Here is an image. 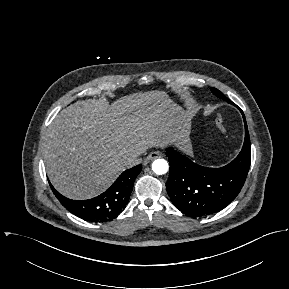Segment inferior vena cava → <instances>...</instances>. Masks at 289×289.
<instances>
[{
  "label": "inferior vena cava",
  "mask_w": 289,
  "mask_h": 289,
  "mask_svg": "<svg viewBox=\"0 0 289 289\" xmlns=\"http://www.w3.org/2000/svg\"><path fill=\"white\" fill-rule=\"evenodd\" d=\"M139 154H130L125 158V162L128 167L135 166L141 162V159L139 158Z\"/></svg>",
  "instance_id": "1"
}]
</instances>
